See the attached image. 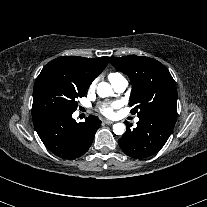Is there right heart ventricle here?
I'll list each match as a JSON object with an SVG mask.
<instances>
[{
  "label": "right heart ventricle",
  "instance_id": "right-heart-ventricle-1",
  "mask_svg": "<svg viewBox=\"0 0 207 207\" xmlns=\"http://www.w3.org/2000/svg\"><path fill=\"white\" fill-rule=\"evenodd\" d=\"M117 76H120V74L119 73H110L108 77H109L110 81H112Z\"/></svg>",
  "mask_w": 207,
  "mask_h": 207
}]
</instances>
